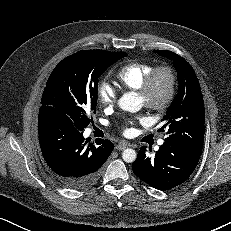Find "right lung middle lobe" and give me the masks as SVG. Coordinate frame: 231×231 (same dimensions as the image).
Masks as SVG:
<instances>
[{
    "label": "right lung middle lobe",
    "instance_id": "dd1d6c3e",
    "mask_svg": "<svg viewBox=\"0 0 231 231\" xmlns=\"http://www.w3.org/2000/svg\"><path fill=\"white\" fill-rule=\"evenodd\" d=\"M125 52L83 50L64 58L52 71L43 91L41 105L68 116L82 131L96 112L98 79Z\"/></svg>",
    "mask_w": 231,
    "mask_h": 231
}]
</instances>
